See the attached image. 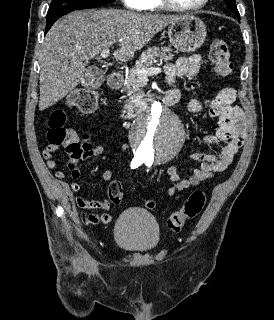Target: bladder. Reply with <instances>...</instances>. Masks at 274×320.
<instances>
[{"label":"bladder","instance_id":"obj_1","mask_svg":"<svg viewBox=\"0 0 274 320\" xmlns=\"http://www.w3.org/2000/svg\"><path fill=\"white\" fill-rule=\"evenodd\" d=\"M118 246L127 252L145 253L154 249L160 241V230L155 218L141 208L122 212L114 227Z\"/></svg>","mask_w":274,"mask_h":320}]
</instances>
